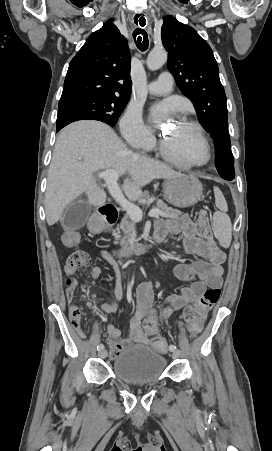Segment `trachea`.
I'll return each instance as SVG.
<instances>
[{
  "label": "trachea",
  "mask_w": 272,
  "mask_h": 451,
  "mask_svg": "<svg viewBox=\"0 0 272 451\" xmlns=\"http://www.w3.org/2000/svg\"><path fill=\"white\" fill-rule=\"evenodd\" d=\"M135 23H137V21H135ZM139 24L141 27H144L146 24V20L143 17H141L139 19ZM133 38H134L135 43H136L137 47L139 48V50H141V51L147 50L149 42H148V36H147V33L145 30H143L142 28H137L133 32Z\"/></svg>",
  "instance_id": "trachea-1"
}]
</instances>
